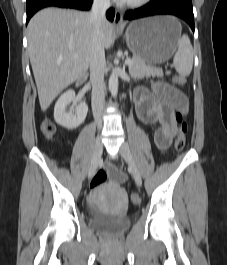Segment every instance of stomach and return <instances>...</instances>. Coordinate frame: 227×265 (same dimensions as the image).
Wrapping results in <instances>:
<instances>
[{"mask_svg": "<svg viewBox=\"0 0 227 265\" xmlns=\"http://www.w3.org/2000/svg\"><path fill=\"white\" fill-rule=\"evenodd\" d=\"M181 30L175 17L154 16L130 23L124 37L136 58L146 64H159L169 60L176 51Z\"/></svg>", "mask_w": 227, "mask_h": 265, "instance_id": "stomach-1", "label": "stomach"}]
</instances>
